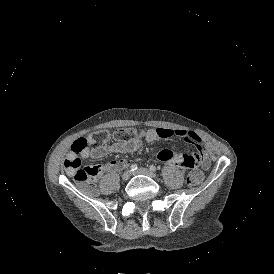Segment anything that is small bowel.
<instances>
[{
	"label": "small bowel",
	"mask_w": 274,
	"mask_h": 274,
	"mask_svg": "<svg viewBox=\"0 0 274 274\" xmlns=\"http://www.w3.org/2000/svg\"><path fill=\"white\" fill-rule=\"evenodd\" d=\"M172 137L182 138L184 141L191 143L196 148V155L201 160L203 167L208 168L210 166V159L206 153V145L204 141L193 131L182 129H170L166 127H151L146 130L144 139L147 142H154L160 139H167ZM141 146V141L133 142H114L111 144H102L93 147H86L81 151V156L85 159L93 158L99 159L105 155L112 153H128L135 151ZM155 157L158 160L167 161L169 166L194 169L198 165L196 158H190L187 155L179 153V141L172 139L170 141V149L162 148L155 152ZM124 160H117L107 163L104 166H99L100 173L109 171L111 169H118L125 166ZM99 173V174H100Z\"/></svg>",
	"instance_id": "small-bowel-1"
}]
</instances>
